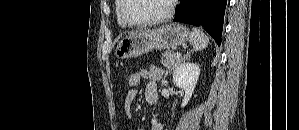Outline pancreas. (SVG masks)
<instances>
[{
  "label": "pancreas",
  "mask_w": 299,
  "mask_h": 130,
  "mask_svg": "<svg viewBox=\"0 0 299 130\" xmlns=\"http://www.w3.org/2000/svg\"><path fill=\"white\" fill-rule=\"evenodd\" d=\"M174 51L168 50L162 53L161 63L167 68L169 72L173 71L181 62L179 57L174 55Z\"/></svg>",
  "instance_id": "pancreas-1"
}]
</instances>
